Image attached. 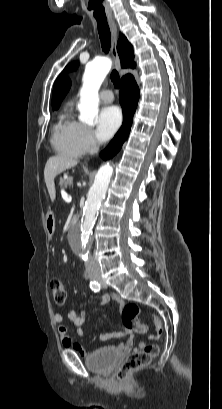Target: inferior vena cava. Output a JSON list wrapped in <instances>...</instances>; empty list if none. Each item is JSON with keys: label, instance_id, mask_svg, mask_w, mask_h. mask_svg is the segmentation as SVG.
<instances>
[{"label": "inferior vena cava", "instance_id": "obj_1", "mask_svg": "<svg viewBox=\"0 0 222 409\" xmlns=\"http://www.w3.org/2000/svg\"><path fill=\"white\" fill-rule=\"evenodd\" d=\"M86 267L88 270L99 269L98 262L92 257L90 253L88 259L86 260Z\"/></svg>", "mask_w": 222, "mask_h": 409}]
</instances>
